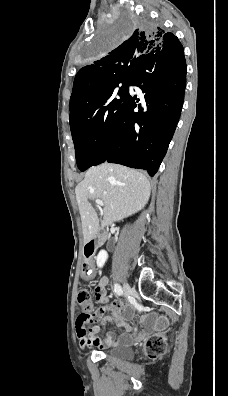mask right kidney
<instances>
[{
  "instance_id": "obj_1",
  "label": "right kidney",
  "mask_w": 228,
  "mask_h": 396,
  "mask_svg": "<svg viewBox=\"0 0 228 396\" xmlns=\"http://www.w3.org/2000/svg\"><path fill=\"white\" fill-rule=\"evenodd\" d=\"M108 258V254L105 250H101L96 258V263L99 268H102Z\"/></svg>"
}]
</instances>
